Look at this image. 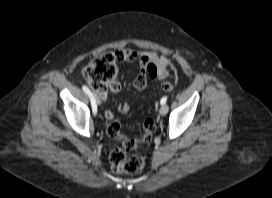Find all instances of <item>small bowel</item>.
Here are the masks:
<instances>
[{
  "label": "small bowel",
  "mask_w": 272,
  "mask_h": 198,
  "mask_svg": "<svg viewBox=\"0 0 272 198\" xmlns=\"http://www.w3.org/2000/svg\"><path fill=\"white\" fill-rule=\"evenodd\" d=\"M117 52L122 56L123 62H138L140 66L144 69L147 64L152 63L155 65L157 69V74L152 77V79H163L167 77L169 73V65L170 60L165 56H158L156 53L153 52H146V51H131L128 49H119ZM135 85V81H134ZM135 87H137L135 85ZM138 88V87H137ZM110 91L112 93H118L121 91V84L118 81H114L111 85ZM106 93H99V97L101 99L105 98ZM98 97V98H99ZM130 110V104L126 101L121 102L119 104V111L121 113H127ZM104 116L106 119L111 120L114 117V114L111 110H106L104 112Z\"/></svg>",
  "instance_id": "obj_1"
}]
</instances>
